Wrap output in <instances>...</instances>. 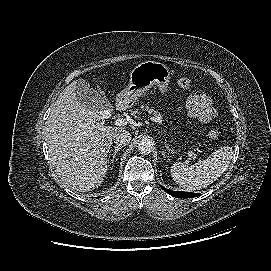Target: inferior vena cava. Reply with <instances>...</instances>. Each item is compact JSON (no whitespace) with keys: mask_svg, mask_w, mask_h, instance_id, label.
Listing matches in <instances>:
<instances>
[{"mask_svg":"<svg viewBox=\"0 0 271 271\" xmlns=\"http://www.w3.org/2000/svg\"><path fill=\"white\" fill-rule=\"evenodd\" d=\"M113 141L118 146H125L130 143L131 134L127 130H121L113 135Z\"/></svg>","mask_w":271,"mask_h":271,"instance_id":"inferior-vena-cava-1","label":"inferior vena cava"}]
</instances>
